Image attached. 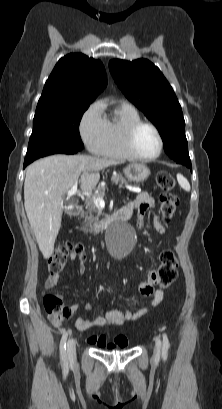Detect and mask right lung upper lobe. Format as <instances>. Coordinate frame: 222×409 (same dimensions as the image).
<instances>
[{
  "mask_svg": "<svg viewBox=\"0 0 222 409\" xmlns=\"http://www.w3.org/2000/svg\"><path fill=\"white\" fill-rule=\"evenodd\" d=\"M106 85V72L100 60L81 53L68 54L54 67L36 109L66 104H90Z\"/></svg>",
  "mask_w": 222,
  "mask_h": 409,
  "instance_id": "cb5924a9",
  "label": "right lung upper lobe"
}]
</instances>
